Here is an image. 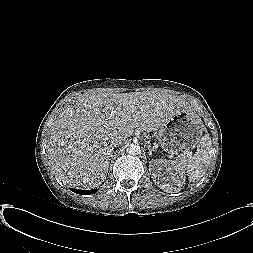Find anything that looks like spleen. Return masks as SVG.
<instances>
[{
  "instance_id": "1",
  "label": "spleen",
  "mask_w": 253,
  "mask_h": 253,
  "mask_svg": "<svg viewBox=\"0 0 253 253\" xmlns=\"http://www.w3.org/2000/svg\"><path fill=\"white\" fill-rule=\"evenodd\" d=\"M212 153V142L209 134H205L197 147L194 155L190 154L187 158L180 157L172 163L181 171H187L189 180L195 182L200 180L205 174L210 162Z\"/></svg>"
}]
</instances>
